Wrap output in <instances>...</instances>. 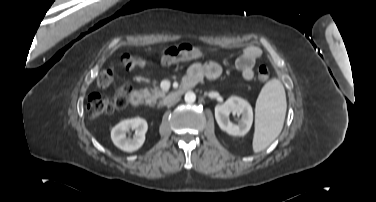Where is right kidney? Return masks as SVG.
<instances>
[{
    "label": "right kidney",
    "mask_w": 376,
    "mask_h": 202,
    "mask_svg": "<svg viewBox=\"0 0 376 202\" xmlns=\"http://www.w3.org/2000/svg\"><path fill=\"white\" fill-rule=\"evenodd\" d=\"M147 129V122L143 118L126 119L112 128L111 139L119 149L125 152H134L143 145ZM129 130H135V135L132 139L126 137V133Z\"/></svg>",
    "instance_id": "obj_1"
}]
</instances>
